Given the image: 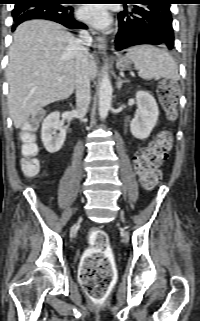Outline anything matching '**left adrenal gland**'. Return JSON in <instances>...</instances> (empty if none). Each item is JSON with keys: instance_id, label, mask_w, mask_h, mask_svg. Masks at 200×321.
<instances>
[{"instance_id": "a2214340", "label": "left adrenal gland", "mask_w": 200, "mask_h": 321, "mask_svg": "<svg viewBox=\"0 0 200 321\" xmlns=\"http://www.w3.org/2000/svg\"><path fill=\"white\" fill-rule=\"evenodd\" d=\"M129 81L126 79H121L120 77H117V83H116V87L117 89H120L123 85V83H128Z\"/></svg>"}]
</instances>
